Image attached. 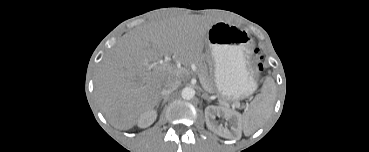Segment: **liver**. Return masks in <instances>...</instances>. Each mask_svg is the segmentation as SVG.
I'll use <instances>...</instances> for the list:
<instances>
[{"label": "liver", "instance_id": "liver-1", "mask_svg": "<svg viewBox=\"0 0 369 152\" xmlns=\"http://www.w3.org/2000/svg\"><path fill=\"white\" fill-rule=\"evenodd\" d=\"M211 25L178 16L123 35L101 62L95 81L96 97L109 123L128 130L142 114L153 110L164 83L179 81L186 74L159 61L172 56L183 65L195 62Z\"/></svg>", "mask_w": 369, "mask_h": 152}]
</instances>
